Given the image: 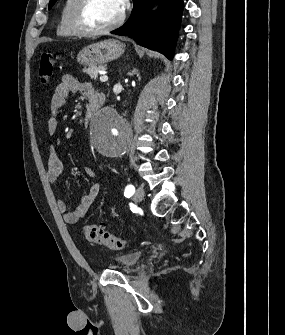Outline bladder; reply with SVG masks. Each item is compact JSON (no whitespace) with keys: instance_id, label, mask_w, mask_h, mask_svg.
<instances>
[{"instance_id":"obj_1","label":"bladder","mask_w":285,"mask_h":335,"mask_svg":"<svg viewBox=\"0 0 285 335\" xmlns=\"http://www.w3.org/2000/svg\"><path fill=\"white\" fill-rule=\"evenodd\" d=\"M144 255L143 251H126L121 255L114 256L112 258H123V265H134L136 267L142 261Z\"/></svg>"}]
</instances>
